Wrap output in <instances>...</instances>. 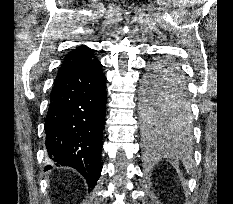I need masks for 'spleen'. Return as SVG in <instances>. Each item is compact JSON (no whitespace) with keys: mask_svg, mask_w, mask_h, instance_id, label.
<instances>
[{"mask_svg":"<svg viewBox=\"0 0 233 204\" xmlns=\"http://www.w3.org/2000/svg\"><path fill=\"white\" fill-rule=\"evenodd\" d=\"M168 147H171V145H169ZM168 153L172 154V155H179L182 159L183 165L186 169L187 174H191L192 173V167H193V161L191 159V157L185 153L184 151H178L177 147H174L172 149H170L168 151Z\"/></svg>","mask_w":233,"mask_h":204,"instance_id":"spleen-1","label":"spleen"}]
</instances>
